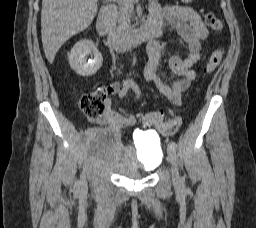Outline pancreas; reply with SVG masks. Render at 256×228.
I'll list each match as a JSON object with an SVG mask.
<instances>
[{"mask_svg":"<svg viewBox=\"0 0 256 228\" xmlns=\"http://www.w3.org/2000/svg\"><path fill=\"white\" fill-rule=\"evenodd\" d=\"M120 10L118 13L119 30H128L131 28L130 19L134 15V2L121 0Z\"/></svg>","mask_w":256,"mask_h":228,"instance_id":"pancreas-1","label":"pancreas"}]
</instances>
